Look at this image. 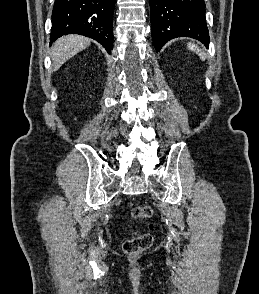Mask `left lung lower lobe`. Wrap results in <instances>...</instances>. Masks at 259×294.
<instances>
[{
  "instance_id": "0a47b994",
  "label": "left lung lower lobe",
  "mask_w": 259,
  "mask_h": 294,
  "mask_svg": "<svg viewBox=\"0 0 259 294\" xmlns=\"http://www.w3.org/2000/svg\"><path fill=\"white\" fill-rule=\"evenodd\" d=\"M151 31L160 51L169 40L190 37L209 45L204 0H150Z\"/></svg>"
}]
</instances>
